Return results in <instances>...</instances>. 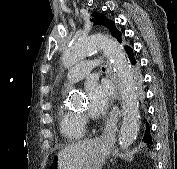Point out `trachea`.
<instances>
[{"label": "trachea", "instance_id": "obj_1", "mask_svg": "<svg viewBox=\"0 0 177 169\" xmlns=\"http://www.w3.org/2000/svg\"><path fill=\"white\" fill-rule=\"evenodd\" d=\"M102 70L105 71V68L103 67Z\"/></svg>", "mask_w": 177, "mask_h": 169}]
</instances>
